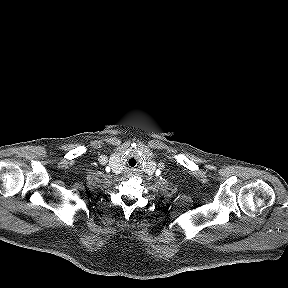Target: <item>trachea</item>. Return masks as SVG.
<instances>
[{
  "mask_svg": "<svg viewBox=\"0 0 288 288\" xmlns=\"http://www.w3.org/2000/svg\"><path fill=\"white\" fill-rule=\"evenodd\" d=\"M126 165L130 168H135L139 165V156L137 153L130 151L126 158Z\"/></svg>",
  "mask_w": 288,
  "mask_h": 288,
  "instance_id": "1",
  "label": "trachea"
}]
</instances>
